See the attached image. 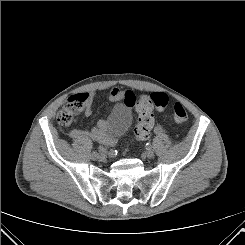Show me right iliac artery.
Wrapping results in <instances>:
<instances>
[{"label": "right iliac artery", "mask_w": 245, "mask_h": 245, "mask_svg": "<svg viewBox=\"0 0 245 245\" xmlns=\"http://www.w3.org/2000/svg\"><path fill=\"white\" fill-rule=\"evenodd\" d=\"M98 152H99V154H101L104 157L107 156V154H108L107 151L105 150V148L102 146L99 147Z\"/></svg>", "instance_id": "right-iliac-artery-1"}]
</instances>
